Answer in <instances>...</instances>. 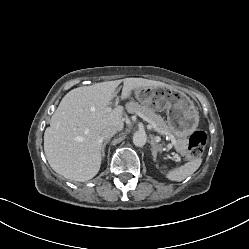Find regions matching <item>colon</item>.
<instances>
[{
    "instance_id": "obj_1",
    "label": "colon",
    "mask_w": 249,
    "mask_h": 249,
    "mask_svg": "<svg viewBox=\"0 0 249 249\" xmlns=\"http://www.w3.org/2000/svg\"><path fill=\"white\" fill-rule=\"evenodd\" d=\"M207 136L203 131L194 132L188 142V151L192 156H198L205 148Z\"/></svg>"
}]
</instances>
